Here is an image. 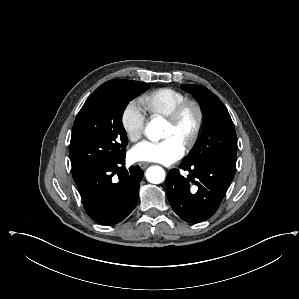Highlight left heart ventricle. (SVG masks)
I'll return each mask as SVG.
<instances>
[{"instance_id": "1", "label": "left heart ventricle", "mask_w": 299, "mask_h": 299, "mask_svg": "<svg viewBox=\"0 0 299 299\" xmlns=\"http://www.w3.org/2000/svg\"><path fill=\"white\" fill-rule=\"evenodd\" d=\"M196 123V114L193 110H189L179 125L173 126L167 122L163 134V138L175 137L183 145L191 137Z\"/></svg>"}]
</instances>
